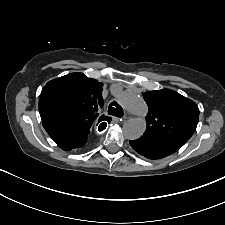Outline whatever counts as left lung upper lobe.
<instances>
[{
	"mask_svg": "<svg viewBox=\"0 0 225 225\" xmlns=\"http://www.w3.org/2000/svg\"><path fill=\"white\" fill-rule=\"evenodd\" d=\"M143 97L149 108L143 136L184 142L190 139L199 118L194 101L169 89L148 91Z\"/></svg>",
	"mask_w": 225,
	"mask_h": 225,
	"instance_id": "5c2ea615",
	"label": "left lung upper lobe"
}]
</instances>
